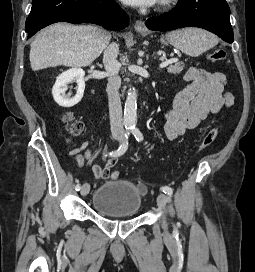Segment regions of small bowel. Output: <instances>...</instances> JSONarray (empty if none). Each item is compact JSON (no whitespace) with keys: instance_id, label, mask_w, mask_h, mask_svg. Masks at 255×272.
I'll use <instances>...</instances> for the list:
<instances>
[{"instance_id":"obj_1","label":"small bowel","mask_w":255,"mask_h":272,"mask_svg":"<svg viewBox=\"0 0 255 272\" xmlns=\"http://www.w3.org/2000/svg\"><path fill=\"white\" fill-rule=\"evenodd\" d=\"M183 78L190 84L175 95L172 107L163 112L164 133L168 140H175L198 128L208 116L229 108L234 101L232 93L226 88L227 77L222 72L190 67ZM74 158L82 166L85 160L91 161L92 155L90 150H86L83 155L76 150ZM115 162L116 159L111 156L104 167L93 164L91 170L95 178H110Z\"/></svg>"}]
</instances>
